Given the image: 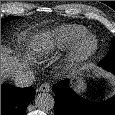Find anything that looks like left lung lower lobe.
<instances>
[{
  "instance_id": "1",
  "label": "left lung lower lobe",
  "mask_w": 115,
  "mask_h": 115,
  "mask_svg": "<svg viewBox=\"0 0 115 115\" xmlns=\"http://www.w3.org/2000/svg\"><path fill=\"white\" fill-rule=\"evenodd\" d=\"M101 67L115 74V64ZM68 83L63 80L53 86L55 115H115V97L100 103L86 101L77 96Z\"/></svg>"
}]
</instances>
